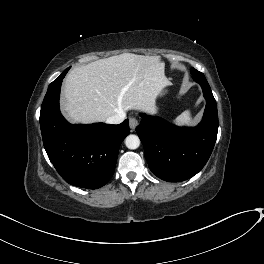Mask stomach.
<instances>
[{
    "label": "stomach",
    "mask_w": 264,
    "mask_h": 264,
    "mask_svg": "<svg viewBox=\"0 0 264 264\" xmlns=\"http://www.w3.org/2000/svg\"><path fill=\"white\" fill-rule=\"evenodd\" d=\"M166 92H167V90H166V87L159 93V95L158 96H162V95H165L166 94Z\"/></svg>",
    "instance_id": "0dacf381"
}]
</instances>
